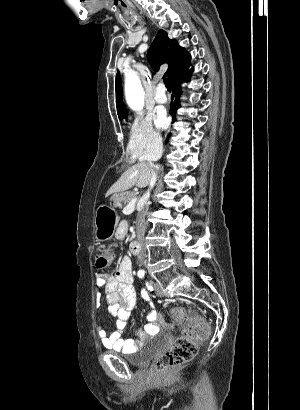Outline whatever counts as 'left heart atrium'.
<instances>
[{"label": "left heart atrium", "mask_w": 300, "mask_h": 410, "mask_svg": "<svg viewBox=\"0 0 300 410\" xmlns=\"http://www.w3.org/2000/svg\"><path fill=\"white\" fill-rule=\"evenodd\" d=\"M167 123V116L166 113L161 110L158 112L157 117H156V124L159 128H163Z\"/></svg>", "instance_id": "obj_1"}]
</instances>
